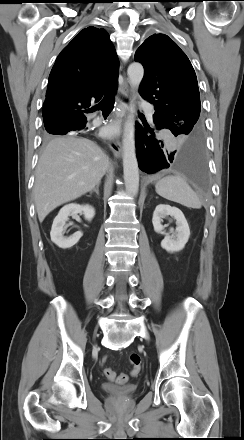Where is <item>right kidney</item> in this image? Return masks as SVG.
Segmentation results:
<instances>
[{"label": "right kidney", "instance_id": "1", "mask_svg": "<svg viewBox=\"0 0 244 440\" xmlns=\"http://www.w3.org/2000/svg\"><path fill=\"white\" fill-rule=\"evenodd\" d=\"M77 214H83L84 218L91 221L95 215V209L90 205H79L71 203L65 205L55 217L50 236L53 243L62 249H68L74 246L82 237V232L78 231L70 237H64L63 231L69 216L76 217Z\"/></svg>", "mask_w": 244, "mask_h": 440}]
</instances>
